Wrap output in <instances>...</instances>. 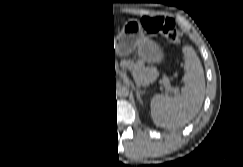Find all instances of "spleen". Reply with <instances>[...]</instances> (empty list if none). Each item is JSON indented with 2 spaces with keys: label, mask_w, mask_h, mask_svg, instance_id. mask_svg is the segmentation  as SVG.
<instances>
[{
  "label": "spleen",
  "mask_w": 243,
  "mask_h": 167,
  "mask_svg": "<svg viewBox=\"0 0 243 167\" xmlns=\"http://www.w3.org/2000/svg\"><path fill=\"white\" fill-rule=\"evenodd\" d=\"M185 75L181 95H156L151 102V117L156 126L167 129L182 127L199 112L203 100L205 79L201 62L191 47H184Z\"/></svg>",
  "instance_id": "1"
}]
</instances>
